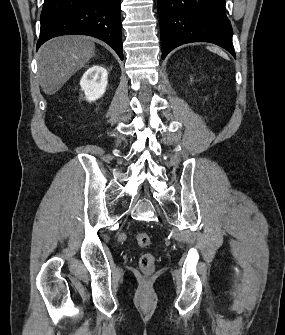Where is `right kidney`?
I'll return each instance as SVG.
<instances>
[{
	"label": "right kidney",
	"mask_w": 285,
	"mask_h": 335,
	"mask_svg": "<svg viewBox=\"0 0 285 335\" xmlns=\"http://www.w3.org/2000/svg\"><path fill=\"white\" fill-rule=\"evenodd\" d=\"M108 84V72L101 66H92L80 80V86L88 102H94L103 96Z\"/></svg>",
	"instance_id": "1"
}]
</instances>
